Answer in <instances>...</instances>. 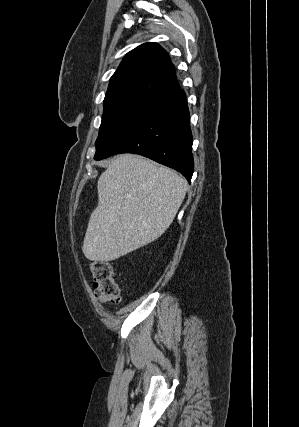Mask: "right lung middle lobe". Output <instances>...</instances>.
Instances as JSON below:
<instances>
[{"label":"right lung middle lobe","mask_w":299,"mask_h":427,"mask_svg":"<svg viewBox=\"0 0 299 427\" xmlns=\"http://www.w3.org/2000/svg\"><path fill=\"white\" fill-rule=\"evenodd\" d=\"M104 102L99 136L95 143L96 153L113 144L154 104L152 100L136 97H119Z\"/></svg>","instance_id":"dd1d6c3e"}]
</instances>
